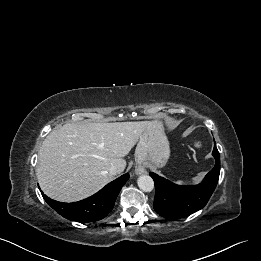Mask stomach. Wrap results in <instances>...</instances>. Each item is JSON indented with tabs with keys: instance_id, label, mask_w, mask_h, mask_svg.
<instances>
[{
	"instance_id": "obj_1",
	"label": "stomach",
	"mask_w": 261,
	"mask_h": 261,
	"mask_svg": "<svg viewBox=\"0 0 261 261\" xmlns=\"http://www.w3.org/2000/svg\"><path fill=\"white\" fill-rule=\"evenodd\" d=\"M170 156L169 141L161 121L155 120L139 138L135 151L136 164H149L154 168L165 166Z\"/></svg>"
}]
</instances>
